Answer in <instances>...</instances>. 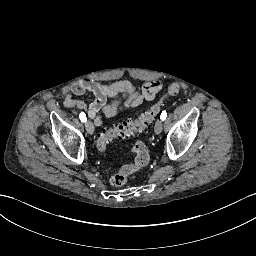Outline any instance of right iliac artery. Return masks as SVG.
Segmentation results:
<instances>
[{
    "mask_svg": "<svg viewBox=\"0 0 256 256\" xmlns=\"http://www.w3.org/2000/svg\"><path fill=\"white\" fill-rule=\"evenodd\" d=\"M79 118L82 122H86L87 118H86V114L84 112H81L79 115Z\"/></svg>",
    "mask_w": 256,
    "mask_h": 256,
    "instance_id": "obj_1",
    "label": "right iliac artery"
}]
</instances>
